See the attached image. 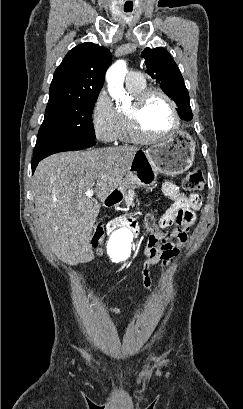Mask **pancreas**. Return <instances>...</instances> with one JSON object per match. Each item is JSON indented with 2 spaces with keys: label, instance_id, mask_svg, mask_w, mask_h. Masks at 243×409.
Instances as JSON below:
<instances>
[{
  "label": "pancreas",
  "instance_id": "cf45deb5",
  "mask_svg": "<svg viewBox=\"0 0 243 409\" xmlns=\"http://www.w3.org/2000/svg\"><path fill=\"white\" fill-rule=\"evenodd\" d=\"M134 188H135V187L132 186V187L128 190V192L126 193V195H125V197H124L127 206H130V205L133 204V200H134V197H135Z\"/></svg>",
  "mask_w": 243,
  "mask_h": 409
}]
</instances>
